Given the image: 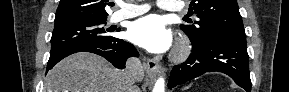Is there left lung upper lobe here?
Returning a JSON list of instances; mask_svg holds the SVG:
<instances>
[{"mask_svg": "<svg viewBox=\"0 0 289 92\" xmlns=\"http://www.w3.org/2000/svg\"><path fill=\"white\" fill-rule=\"evenodd\" d=\"M189 8L200 18L195 22L199 27L180 25V28L190 38L192 45H202L220 34L245 37L236 0H192Z\"/></svg>", "mask_w": 289, "mask_h": 92, "instance_id": "5c2ea615", "label": "left lung upper lobe"}]
</instances>
